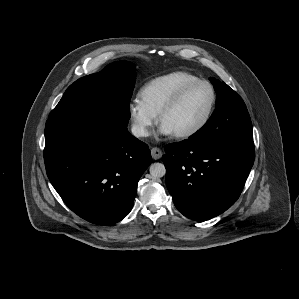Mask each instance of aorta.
Listing matches in <instances>:
<instances>
[{
  "label": "aorta",
  "instance_id": "1",
  "mask_svg": "<svg viewBox=\"0 0 299 299\" xmlns=\"http://www.w3.org/2000/svg\"><path fill=\"white\" fill-rule=\"evenodd\" d=\"M150 174L154 178H161L166 174V168L162 163H153L149 168Z\"/></svg>",
  "mask_w": 299,
  "mask_h": 299
}]
</instances>
